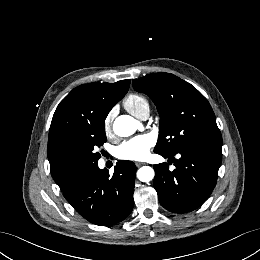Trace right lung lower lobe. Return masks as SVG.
Wrapping results in <instances>:
<instances>
[{
	"label": "right lung lower lobe",
	"instance_id": "1",
	"mask_svg": "<svg viewBox=\"0 0 260 260\" xmlns=\"http://www.w3.org/2000/svg\"><path fill=\"white\" fill-rule=\"evenodd\" d=\"M136 166L131 161H118L109 175L98 164L82 170L62 190L66 200L85 219L100 226L124 220L134 205Z\"/></svg>",
	"mask_w": 260,
	"mask_h": 260
}]
</instances>
